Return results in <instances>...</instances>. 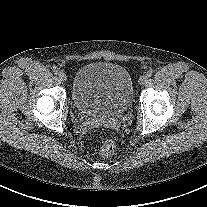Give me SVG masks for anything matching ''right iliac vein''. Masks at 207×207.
<instances>
[{
    "label": "right iliac vein",
    "mask_w": 207,
    "mask_h": 207,
    "mask_svg": "<svg viewBox=\"0 0 207 207\" xmlns=\"http://www.w3.org/2000/svg\"><path fill=\"white\" fill-rule=\"evenodd\" d=\"M58 78H59L61 81H63V82H65V81L67 80V76H66V74H65L64 72H60V73L58 74Z\"/></svg>",
    "instance_id": "obj_1"
}]
</instances>
